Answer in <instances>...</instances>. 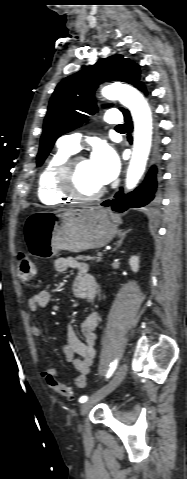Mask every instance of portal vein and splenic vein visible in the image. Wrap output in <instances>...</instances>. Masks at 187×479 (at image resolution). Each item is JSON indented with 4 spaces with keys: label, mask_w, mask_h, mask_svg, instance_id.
<instances>
[{
    "label": "portal vein and splenic vein",
    "mask_w": 187,
    "mask_h": 479,
    "mask_svg": "<svg viewBox=\"0 0 187 479\" xmlns=\"http://www.w3.org/2000/svg\"><path fill=\"white\" fill-rule=\"evenodd\" d=\"M97 256H99L100 258L103 256V253L102 252H98L97 253Z\"/></svg>",
    "instance_id": "portal-vein-and-splenic-vein-1"
}]
</instances>
